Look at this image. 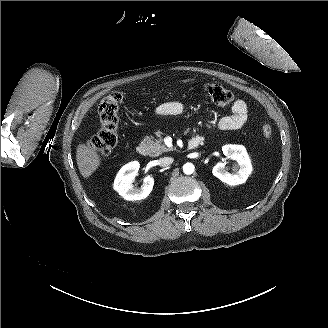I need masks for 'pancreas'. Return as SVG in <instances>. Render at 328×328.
Returning a JSON list of instances; mask_svg holds the SVG:
<instances>
[{
  "mask_svg": "<svg viewBox=\"0 0 328 328\" xmlns=\"http://www.w3.org/2000/svg\"><path fill=\"white\" fill-rule=\"evenodd\" d=\"M141 144L147 146V154L150 157H158L163 152L173 150L172 147H167L164 144L163 138L161 137H159L158 139H153L152 136H145Z\"/></svg>",
  "mask_w": 328,
  "mask_h": 328,
  "instance_id": "obj_1",
  "label": "pancreas"
}]
</instances>
